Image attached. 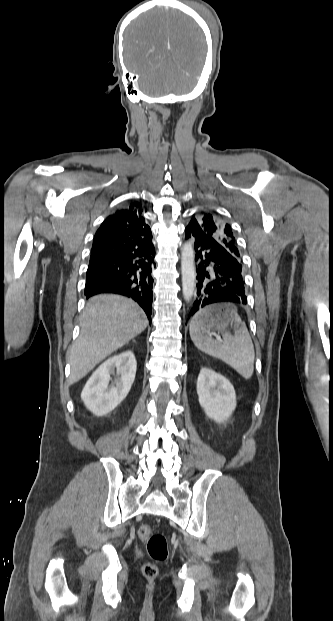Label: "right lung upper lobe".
<instances>
[{"label": "right lung upper lobe", "instance_id": "cb5924a9", "mask_svg": "<svg viewBox=\"0 0 333 621\" xmlns=\"http://www.w3.org/2000/svg\"><path fill=\"white\" fill-rule=\"evenodd\" d=\"M142 212L141 204L135 202L108 216L94 236L92 250L118 248L134 251L150 247L152 234Z\"/></svg>", "mask_w": 333, "mask_h": 621}]
</instances>
